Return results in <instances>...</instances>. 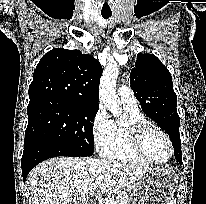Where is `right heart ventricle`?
Listing matches in <instances>:
<instances>
[{
  "instance_id": "1",
  "label": "right heart ventricle",
  "mask_w": 206,
  "mask_h": 204,
  "mask_svg": "<svg viewBox=\"0 0 206 204\" xmlns=\"http://www.w3.org/2000/svg\"><path fill=\"white\" fill-rule=\"evenodd\" d=\"M125 115L121 119L110 120L109 133L100 153L103 157L123 163L149 166L135 151L131 129L140 123L148 122L138 107L122 104Z\"/></svg>"
}]
</instances>
